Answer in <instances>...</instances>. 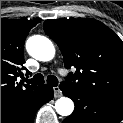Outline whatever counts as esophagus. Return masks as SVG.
Wrapping results in <instances>:
<instances>
[{"label": "esophagus", "mask_w": 123, "mask_h": 123, "mask_svg": "<svg viewBox=\"0 0 123 123\" xmlns=\"http://www.w3.org/2000/svg\"><path fill=\"white\" fill-rule=\"evenodd\" d=\"M53 90H54V97L55 98H59L62 96V92L58 86L54 87Z\"/></svg>", "instance_id": "obj_1"}]
</instances>
